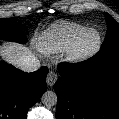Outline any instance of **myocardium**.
Instances as JSON below:
<instances>
[{"mask_svg":"<svg viewBox=\"0 0 119 119\" xmlns=\"http://www.w3.org/2000/svg\"><path fill=\"white\" fill-rule=\"evenodd\" d=\"M90 35L96 36L95 44L90 48H84L83 43ZM102 37L98 30L90 28L85 30L66 52V59L71 63H81L93 57L101 48Z\"/></svg>","mask_w":119,"mask_h":119,"instance_id":"obj_1","label":"myocardium"}]
</instances>
